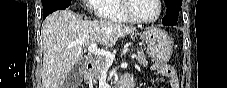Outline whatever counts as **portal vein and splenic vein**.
Segmentation results:
<instances>
[{
  "instance_id": "obj_1",
  "label": "portal vein and splenic vein",
  "mask_w": 227,
  "mask_h": 88,
  "mask_svg": "<svg viewBox=\"0 0 227 88\" xmlns=\"http://www.w3.org/2000/svg\"><path fill=\"white\" fill-rule=\"evenodd\" d=\"M87 49L89 53H92L96 56L105 57L108 65H111L115 60V55L113 53L106 50L98 49V45L96 43L89 45ZM136 57H137L136 54H132L131 56L132 59H135Z\"/></svg>"
}]
</instances>
